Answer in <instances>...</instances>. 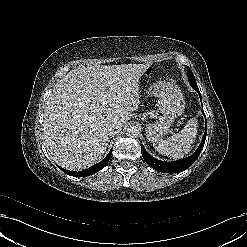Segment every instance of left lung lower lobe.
<instances>
[{
    "label": "left lung lower lobe",
    "instance_id": "left-lung-lower-lobe-1",
    "mask_svg": "<svg viewBox=\"0 0 247 247\" xmlns=\"http://www.w3.org/2000/svg\"><path fill=\"white\" fill-rule=\"evenodd\" d=\"M190 85L192 86V88L196 92H198L200 100H201V94H200V91L198 89L197 84L196 83H190ZM202 112L205 116V113L203 110H202ZM205 118H206V116H205ZM206 134H207V126H206L204 136L202 138V141H201L198 149L191 156H189L187 158L177 160V161H172V162L160 161V160L152 157L145 150V148L143 146H141L142 157L155 170H158L160 172H165V173H179V172L184 171L187 168H189L196 161V159L198 158V156L200 155V153L204 147Z\"/></svg>",
    "mask_w": 247,
    "mask_h": 247
}]
</instances>
